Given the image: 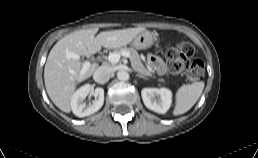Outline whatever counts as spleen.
Segmentation results:
<instances>
[{
	"label": "spleen",
	"mask_w": 258,
	"mask_h": 158,
	"mask_svg": "<svg viewBox=\"0 0 258 158\" xmlns=\"http://www.w3.org/2000/svg\"><path fill=\"white\" fill-rule=\"evenodd\" d=\"M204 82H195L181 86L176 93V106L173 111L174 115H181L190 110L200 98Z\"/></svg>",
	"instance_id": "3e777b00"
}]
</instances>
